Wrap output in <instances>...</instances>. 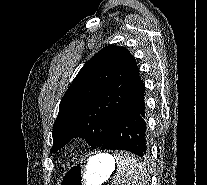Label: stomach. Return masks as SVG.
Here are the masks:
<instances>
[{
    "mask_svg": "<svg viewBox=\"0 0 207 185\" xmlns=\"http://www.w3.org/2000/svg\"><path fill=\"white\" fill-rule=\"evenodd\" d=\"M115 169V158L107 153L78 163L62 176L59 185H101Z\"/></svg>",
    "mask_w": 207,
    "mask_h": 185,
    "instance_id": "obj_1",
    "label": "stomach"
}]
</instances>
